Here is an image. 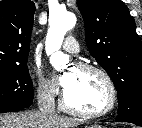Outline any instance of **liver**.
Wrapping results in <instances>:
<instances>
[{"mask_svg": "<svg viewBox=\"0 0 142 128\" xmlns=\"http://www.w3.org/2000/svg\"><path fill=\"white\" fill-rule=\"evenodd\" d=\"M80 121L61 115L51 117L39 111L0 114V128H75Z\"/></svg>", "mask_w": 142, "mask_h": 128, "instance_id": "obj_1", "label": "liver"}]
</instances>
